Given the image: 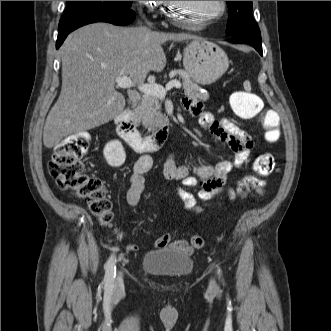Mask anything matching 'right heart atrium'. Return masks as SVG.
Wrapping results in <instances>:
<instances>
[{
	"mask_svg": "<svg viewBox=\"0 0 331 331\" xmlns=\"http://www.w3.org/2000/svg\"><path fill=\"white\" fill-rule=\"evenodd\" d=\"M142 19H156L163 1H136Z\"/></svg>",
	"mask_w": 331,
	"mask_h": 331,
	"instance_id": "d8ad5b80",
	"label": "right heart atrium"
}]
</instances>
